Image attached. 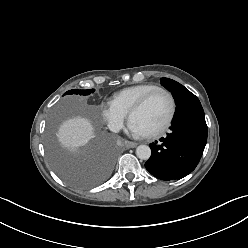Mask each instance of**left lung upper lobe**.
I'll return each mask as SVG.
<instances>
[{"instance_id":"obj_1","label":"left lung upper lobe","mask_w":248,"mask_h":248,"mask_svg":"<svg viewBox=\"0 0 248 248\" xmlns=\"http://www.w3.org/2000/svg\"><path fill=\"white\" fill-rule=\"evenodd\" d=\"M161 84L171 92L174 97L176 104L181 102L185 95L191 93L188 89H186L180 83L169 79V78H161Z\"/></svg>"}]
</instances>
